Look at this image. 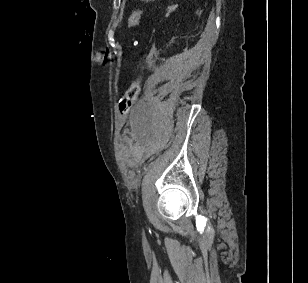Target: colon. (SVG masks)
Here are the masks:
<instances>
[{
  "instance_id": "obj_1",
  "label": "colon",
  "mask_w": 308,
  "mask_h": 283,
  "mask_svg": "<svg viewBox=\"0 0 308 283\" xmlns=\"http://www.w3.org/2000/svg\"><path fill=\"white\" fill-rule=\"evenodd\" d=\"M141 16H142L141 10L134 11L128 19V28L129 29L134 28L139 23ZM140 89H141L140 80H135L131 83L129 88L124 92V94L119 100L118 108L120 114H125L129 110L132 104L137 100L140 93Z\"/></svg>"
}]
</instances>
